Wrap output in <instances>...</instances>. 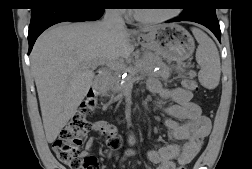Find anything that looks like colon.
I'll use <instances>...</instances> for the list:
<instances>
[{"label": "colon", "mask_w": 252, "mask_h": 169, "mask_svg": "<svg viewBox=\"0 0 252 169\" xmlns=\"http://www.w3.org/2000/svg\"><path fill=\"white\" fill-rule=\"evenodd\" d=\"M182 85L188 90L195 91L198 89L197 83L190 76L182 79ZM96 105L97 93L91 90L81 103L78 111L61 130L58 138L53 143L56 157L70 169H94L96 159L82 152L81 147L86 135L90 131V123L87 118L93 114ZM105 136L110 147L115 148L119 146L120 136L114 125L109 124L105 128ZM178 169H187V167L181 165Z\"/></svg>", "instance_id": "obj_1"}]
</instances>
